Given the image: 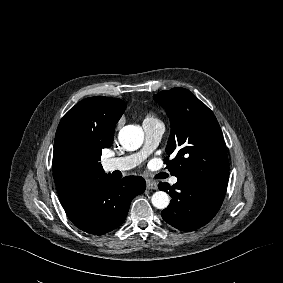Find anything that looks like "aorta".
I'll use <instances>...</instances> for the list:
<instances>
[{"mask_svg":"<svg viewBox=\"0 0 283 283\" xmlns=\"http://www.w3.org/2000/svg\"><path fill=\"white\" fill-rule=\"evenodd\" d=\"M120 144L129 151L138 149L144 141L143 130L135 125L123 127L118 135ZM151 202L157 209H165L170 202L169 195L164 191H157L151 197Z\"/></svg>","mask_w":283,"mask_h":283,"instance_id":"762f6f07","label":"aorta"}]
</instances>
